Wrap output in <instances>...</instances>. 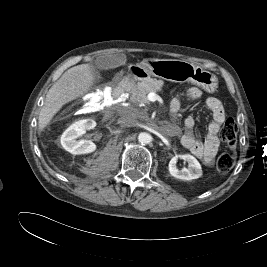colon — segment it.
Instances as JSON below:
<instances>
[{"instance_id":"5ec220e1","label":"colon","mask_w":267,"mask_h":267,"mask_svg":"<svg viewBox=\"0 0 267 267\" xmlns=\"http://www.w3.org/2000/svg\"><path fill=\"white\" fill-rule=\"evenodd\" d=\"M238 126L234 119L228 118L221 129L222 140L230 147L234 148L237 141ZM235 164V156L231 153H222L216 162V168L221 173L229 172Z\"/></svg>"}]
</instances>
